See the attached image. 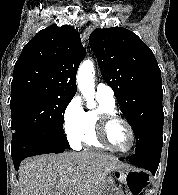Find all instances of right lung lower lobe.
Here are the masks:
<instances>
[{"instance_id":"1","label":"right lung lower lobe","mask_w":178,"mask_h":195,"mask_svg":"<svg viewBox=\"0 0 178 195\" xmlns=\"http://www.w3.org/2000/svg\"><path fill=\"white\" fill-rule=\"evenodd\" d=\"M70 146L68 141L55 132L19 134L12 137L11 153L15 170L23 159L46 153H61Z\"/></svg>"}]
</instances>
